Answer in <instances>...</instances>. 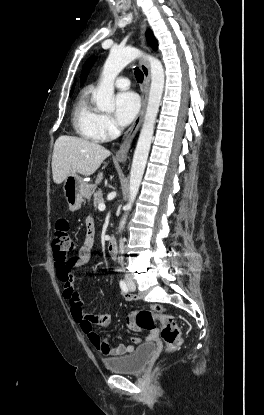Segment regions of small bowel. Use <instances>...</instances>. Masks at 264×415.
<instances>
[{
	"label": "small bowel",
	"instance_id": "c3829d8e",
	"mask_svg": "<svg viewBox=\"0 0 264 415\" xmlns=\"http://www.w3.org/2000/svg\"><path fill=\"white\" fill-rule=\"evenodd\" d=\"M86 230V241L79 248L75 256L65 259L62 262H57V260H55L57 277L63 284V299L68 304L73 320L78 323L81 331L86 334V336L104 357L116 358L128 355L135 350L134 344L141 343L140 338L130 337L132 344L125 345L123 343H119L116 346H111L109 342L101 340L94 330V326L97 324L104 328L109 327L112 321L109 307L105 306L100 314L87 313L79 292L75 289L74 281L72 279V270L85 267L92 258L95 237V222L93 218H88L86 220ZM125 298L127 301L133 300L132 296L126 294ZM133 319L134 314L130 313L126 318L128 327L134 332L141 331V327L134 324ZM156 336L157 332L153 329L146 338V341L154 340Z\"/></svg>",
	"mask_w": 264,
	"mask_h": 415
}]
</instances>
